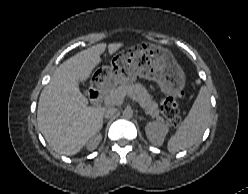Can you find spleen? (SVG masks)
Segmentation results:
<instances>
[{"mask_svg":"<svg viewBox=\"0 0 248 194\" xmlns=\"http://www.w3.org/2000/svg\"><path fill=\"white\" fill-rule=\"evenodd\" d=\"M210 121V94L202 86L187 117L167 143L170 153H176L193 146L203 135Z\"/></svg>","mask_w":248,"mask_h":194,"instance_id":"obj_1","label":"spleen"}]
</instances>
